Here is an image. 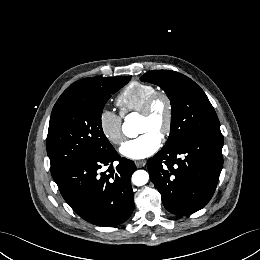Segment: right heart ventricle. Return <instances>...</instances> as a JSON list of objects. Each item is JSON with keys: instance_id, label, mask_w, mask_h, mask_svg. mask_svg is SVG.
Returning <instances> with one entry per match:
<instances>
[{"instance_id": "e07e8e85", "label": "right heart ventricle", "mask_w": 260, "mask_h": 260, "mask_svg": "<svg viewBox=\"0 0 260 260\" xmlns=\"http://www.w3.org/2000/svg\"><path fill=\"white\" fill-rule=\"evenodd\" d=\"M154 91L156 88L151 84L131 82L117 97L116 103L120 108V114L126 116L139 111L145 99Z\"/></svg>"}]
</instances>
